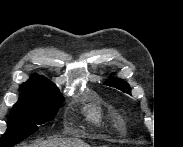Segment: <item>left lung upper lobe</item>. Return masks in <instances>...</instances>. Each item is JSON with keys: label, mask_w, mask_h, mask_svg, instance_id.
<instances>
[{"label": "left lung upper lobe", "mask_w": 183, "mask_h": 147, "mask_svg": "<svg viewBox=\"0 0 183 147\" xmlns=\"http://www.w3.org/2000/svg\"><path fill=\"white\" fill-rule=\"evenodd\" d=\"M105 85H108L110 87H115L125 93L131 94V90L128 83L122 79L110 78L105 82Z\"/></svg>", "instance_id": "1"}]
</instances>
